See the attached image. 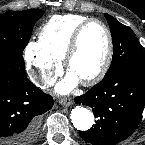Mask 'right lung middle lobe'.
<instances>
[{
  "label": "right lung middle lobe",
  "mask_w": 145,
  "mask_h": 145,
  "mask_svg": "<svg viewBox=\"0 0 145 145\" xmlns=\"http://www.w3.org/2000/svg\"><path fill=\"white\" fill-rule=\"evenodd\" d=\"M40 9L7 11L0 15V56L22 54L33 26L43 15Z\"/></svg>",
  "instance_id": "right-lung-middle-lobe-1"
}]
</instances>
